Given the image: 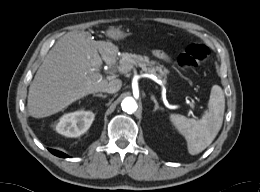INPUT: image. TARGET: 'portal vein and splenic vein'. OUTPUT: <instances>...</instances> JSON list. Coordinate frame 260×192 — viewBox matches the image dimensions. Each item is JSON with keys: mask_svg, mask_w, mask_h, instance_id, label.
<instances>
[{"mask_svg": "<svg viewBox=\"0 0 260 192\" xmlns=\"http://www.w3.org/2000/svg\"><path fill=\"white\" fill-rule=\"evenodd\" d=\"M118 72L120 73H128L131 70V67H129L128 65H119L117 68Z\"/></svg>", "mask_w": 260, "mask_h": 192, "instance_id": "obj_1", "label": "portal vein and splenic vein"}]
</instances>
